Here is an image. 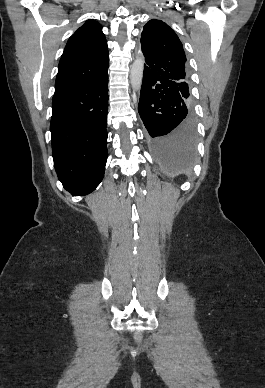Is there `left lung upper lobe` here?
I'll return each mask as SVG.
<instances>
[{
  "label": "left lung upper lobe",
  "instance_id": "obj_1",
  "mask_svg": "<svg viewBox=\"0 0 265 388\" xmlns=\"http://www.w3.org/2000/svg\"><path fill=\"white\" fill-rule=\"evenodd\" d=\"M141 48L145 56L144 69L179 83L186 104L192 106L189 93L186 56L176 33L161 20L152 19L143 27Z\"/></svg>",
  "mask_w": 265,
  "mask_h": 388
}]
</instances>
